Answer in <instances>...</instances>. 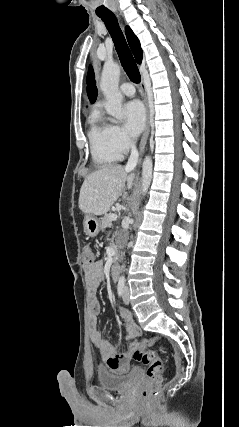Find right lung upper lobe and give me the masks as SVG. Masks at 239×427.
I'll use <instances>...</instances> for the list:
<instances>
[{"instance_id":"1","label":"right lung upper lobe","mask_w":239,"mask_h":427,"mask_svg":"<svg viewBox=\"0 0 239 427\" xmlns=\"http://www.w3.org/2000/svg\"><path fill=\"white\" fill-rule=\"evenodd\" d=\"M125 34H126L129 46H130V48L134 54V57H135L137 63L140 64L142 61V49L140 47V43H139L138 38L135 36L133 31L128 26H126V28H125Z\"/></svg>"}]
</instances>
